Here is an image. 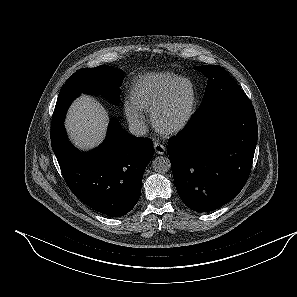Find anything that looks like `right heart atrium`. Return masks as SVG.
Wrapping results in <instances>:
<instances>
[{
  "mask_svg": "<svg viewBox=\"0 0 297 297\" xmlns=\"http://www.w3.org/2000/svg\"><path fill=\"white\" fill-rule=\"evenodd\" d=\"M123 109L127 120L135 129H144L145 118L140 109H138L130 100L124 102Z\"/></svg>",
  "mask_w": 297,
  "mask_h": 297,
  "instance_id": "obj_1",
  "label": "right heart atrium"
}]
</instances>
